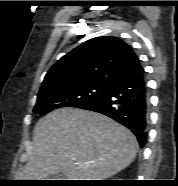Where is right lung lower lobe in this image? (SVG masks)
<instances>
[{
    "label": "right lung lower lobe",
    "mask_w": 178,
    "mask_h": 186,
    "mask_svg": "<svg viewBox=\"0 0 178 186\" xmlns=\"http://www.w3.org/2000/svg\"><path fill=\"white\" fill-rule=\"evenodd\" d=\"M78 108L102 113L129 128L143 146L147 137L149 98L141 67L122 75L96 98Z\"/></svg>",
    "instance_id": "right-lung-lower-lobe-1"
}]
</instances>
